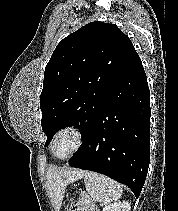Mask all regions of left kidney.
Segmentation results:
<instances>
[{"label":"left kidney","mask_w":178,"mask_h":211,"mask_svg":"<svg viewBox=\"0 0 178 211\" xmlns=\"http://www.w3.org/2000/svg\"><path fill=\"white\" fill-rule=\"evenodd\" d=\"M130 203L123 201V202H115L114 204L107 205L103 208V211H130Z\"/></svg>","instance_id":"5707ae66"}]
</instances>
